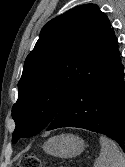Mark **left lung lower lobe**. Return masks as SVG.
<instances>
[{
    "label": "left lung lower lobe",
    "mask_w": 125,
    "mask_h": 167,
    "mask_svg": "<svg viewBox=\"0 0 125 167\" xmlns=\"http://www.w3.org/2000/svg\"><path fill=\"white\" fill-rule=\"evenodd\" d=\"M78 127L104 134L124 149L125 82L117 38L110 28L80 87L47 130Z\"/></svg>",
    "instance_id": "0a47b994"
}]
</instances>
